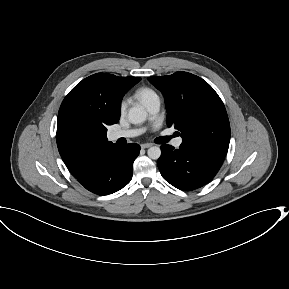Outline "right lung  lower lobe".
Masks as SVG:
<instances>
[{
	"instance_id": "1",
	"label": "right lung lower lobe",
	"mask_w": 289,
	"mask_h": 289,
	"mask_svg": "<svg viewBox=\"0 0 289 289\" xmlns=\"http://www.w3.org/2000/svg\"><path fill=\"white\" fill-rule=\"evenodd\" d=\"M139 151L136 143L112 147L95 157L75 178L95 194L114 193L130 182Z\"/></svg>"
}]
</instances>
